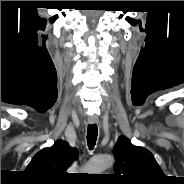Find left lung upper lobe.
<instances>
[{"instance_id": "left-lung-upper-lobe-1", "label": "left lung upper lobe", "mask_w": 184, "mask_h": 184, "mask_svg": "<svg viewBox=\"0 0 184 184\" xmlns=\"http://www.w3.org/2000/svg\"><path fill=\"white\" fill-rule=\"evenodd\" d=\"M116 164L113 180L118 184H164L166 176L147 149L120 137L113 149Z\"/></svg>"}]
</instances>
